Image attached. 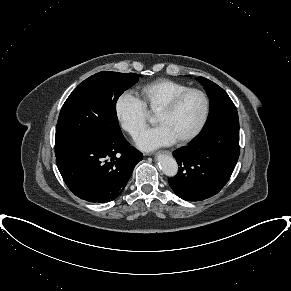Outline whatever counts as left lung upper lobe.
Wrapping results in <instances>:
<instances>
[{
  "mask_svg": "<svg viewBox=\"0 0 291 291\" xmlns=\"http://www.w3.org/2000/svg\"><path fill=\"white\" fill-rule=\"evenodd\" d=\"M206 90L210 98V113L201 133L194 139H199L220 129H239L237 109L228 94L214 82L196 78Z\"/></svg>",
  "mask_w": 291,
  "mask_h": 291,
  "instance_id": "1",
  "label": "left lung upper lobe"
}]
</instances>
